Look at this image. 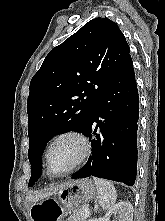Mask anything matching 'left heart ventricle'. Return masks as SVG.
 Here are the masks:
<instances>
[{"instance_id": "left-heart-ventricle-1", "label": "left heart ventricle", "mask_w": 165, "mask_h": 221, "mask_svg": "<svg viewBox=\"0 0 165 221\" xmlns=\"http://www.w3.org/2000/svg\"><path fill=\"white\" fill-rule=\"evenodd\" d=\"M80 153L81 145L75 138L66 137L57 141L49 152L51 169L55 172L69 169L77 161Z\"/></svg>"}]
</instances>
